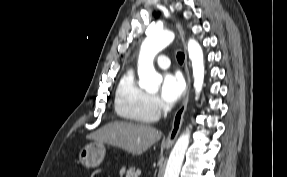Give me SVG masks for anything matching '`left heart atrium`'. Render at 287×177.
I'll list each match as a JSON object with an SVG mask.
<instances>
[{"label":"left heart atrium","mask_w":287,"mask_h":177,"mask_svg":"<svg viewBox=\"0 0 287 177\" xmlns=\"http://www.w3.org/2000/svg\"><path fill=\"white\" fill-rule=\"evenodd\" d=\"M185 91V83L180 73L166 72L163 76L161 98L167 104L176 102Z\"/></svg>","instance_id":"left-heart-atrium-1"}]
</instances>
